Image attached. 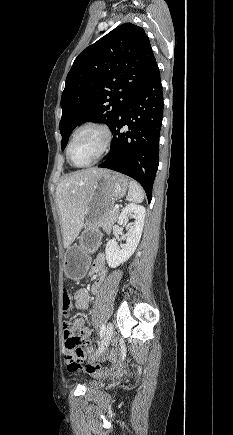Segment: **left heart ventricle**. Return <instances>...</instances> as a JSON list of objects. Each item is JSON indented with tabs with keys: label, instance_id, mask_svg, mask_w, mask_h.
Returning a JSON list of instances; mask_svg holds the SVG:
<instances>
[{
	"label": "left heart ventricle",
	"instance_id": "1",
	"mask_svg": "<svg viewBox=\"0 0 233 435\" xmlns=\"http://www.w3.org/2000/svg\"><path fill=\"white\" fill-rule=\"evenodd\" d=\"M103 142V137L95 129L82 131L74 140L70 158L76 165H83L92 161L98 154Z\"/></svg>",
	"mask_w": 233,
	"mask_h": 435
}]
</instances>
